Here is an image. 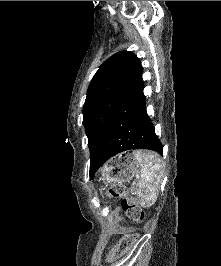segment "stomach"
I'll return each instance as SVG.
<instances>
[{"label":"stomach","mask_w":221,"mask_h":266,"mask_svg":"<svg viewBox=\"0 0 221 266\" xmlns=\"http://www.w3.org/2000/svg\"><path fill=\"white\" fill-rule=\"evenodd\" d=\"M139 166L134 152L122 153L104 166L102 176L107 183L128 182L137 174Z\"/></svg>","instance_id":"obj_1"}]
</instances>
